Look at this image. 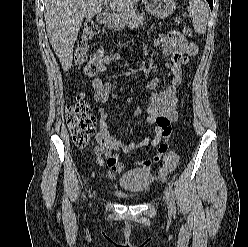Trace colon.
<instances>
[{
  "label": "colon",
  "instance_id": "1",
  "mask_svg": "<svg viewBox=\"0 0 248 247\" xmlns=\"http://www.w3.org/2000/svg\"><path fill=\"white\" fill-rule=\"evenodd\" d=\"M98 33L99 26L97 23L94 21L85 23L83 26L82 36L79 39L74 52L75 64L78 65L81 71L89 77L98 73L100 59L102 58V53L100 51L87 60L89 41L97 36ZM183 34L191 36V28L184 27ZM66 121L74 144L81 148L87 146L95 132V117L89 112L87 103L82 99H78L74 104L68 106Z\"/></svg>",
  "mask_w": 248,
  "mask_h": 247
}]
</instances>
